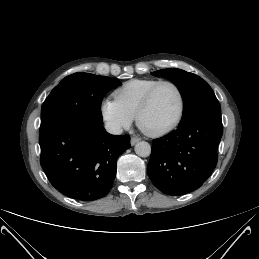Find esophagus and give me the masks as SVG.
Wrapping results in <instances>:
<instances>
[{"mask_svg": "<svg viewBox=\"0 0 259 259\" xmlns=\"http://www.w3.org/2000/svg\"><path fill=\"white\" fill-rule=\"evenodd\" d=\"M140 141L139 138H136V137H132L131 140H130V143L132 146H134L136 143H138Z\"/></svg>", "mask_w": 259, "mask_h": 259, "instance_id": "1", "label": "esophagus"}]
</instances>
